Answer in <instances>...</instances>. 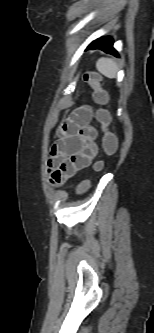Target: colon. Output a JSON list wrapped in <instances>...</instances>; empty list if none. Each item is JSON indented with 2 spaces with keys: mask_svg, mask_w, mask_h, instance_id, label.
Listing matches in <instances>:
<instances>
[{
  "mask_svg": "<svg viewBox=\"0 0 154 333\" xmlns=\"http://www.w3.org/2000/svg\"><path fill=\"white\" fill-rule=\"evenodd\" d=\"M84 81L92 89V98L97 104L98 109L96 111V119L101 126V129L104 133L103 135V149L107 157L113 156L118 148V139L117 136L109 130V125L111 123V115L107 109L104 108L108 101L107 93L101 87L100 77L94 72H86L83 76ZM104 168V161L99 160L93 164V170L95 172H100ZM90 186L88 180L82 181L78 186V192H85Z\"/></svg>",
  "mask_w": 154,
  "mask_h": 333,
  "instance_id": "5ec220e1",
  "label": "colon"
}]
</instances>
